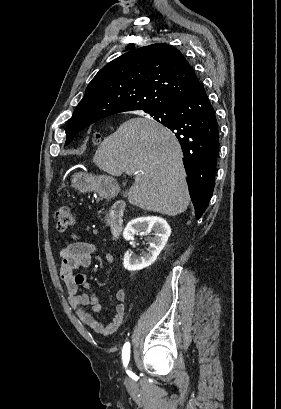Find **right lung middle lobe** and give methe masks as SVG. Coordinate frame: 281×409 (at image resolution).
I'll return each mask as SVG.
<instances>
[{
	"instance_id": "right-lung-middle-lobe-1",
	"label": "right lung middle lobe",
	"mask_w": 281,
	"mask_h": 409,
	"mask_svg": "<svg viewBox=\"0 0 281 409\" xmlns=\"http://www.w3.org/2000/svg\"><path fill=\"white\" fill-rule=\"evenodd\" d=\"M158 122L161 123V119H155ZM87 126H82V127H66V135H67V140L65 145L69 144L73 138L75 137V135L80 132L82 129L86 128Z\"/></svg>"
}]
</instances>
